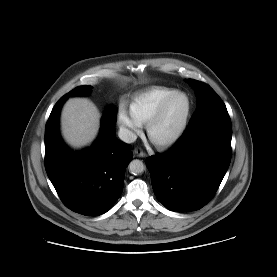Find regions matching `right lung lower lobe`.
<instances>
[{"label": "right lung lower lobe", "instance_id": "98d812e1", "mask_svg": "<svg viewBox=\"0 0 277 277\" xmlns=\"http://www.w3.org/2000/svg\"><path fill=\"white\" fill-rule=\"evenodd\" d=\"M64 101L55 104L45 129V168L64 204L74 212L97 216L120 197L125 169L133 159L131 147L115 136L114 123L101 120L95 143L73 152L59 134V114Z\"/></svg>", "mask_w": 277, "mask_h": 277}]
</instances>
